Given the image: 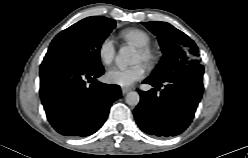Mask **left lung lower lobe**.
I'll return each instance as SVG.
<instances>
[{
	"label": "left lung lower lobe",
	"mask_w": 248,
	"mask_h": 158,
	"mask_svg": "<svg viewBox=\"0 0 248 158\" xmlns=\"http://www.w3.org/2000/svg\"><path fill=\"white\" fill-rule=\"evenodd\" d=\"M203 72L201 64L193 63L175 70L163 80L145 79L143 83L155 88L146 92L138 90L140 103L134 109V117L140 129L162 137L182 133L191 123L202 97Z\"/></svg>",
	"instance_id": "obj_1"
}]
</instances>
